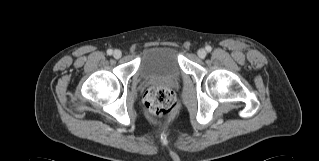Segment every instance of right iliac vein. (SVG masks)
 <instances>
[{"label":"right iliac vein","mask_w":319,"mask_h":161,"mask_svg":"<svg viewBox=\"0 0 319 161\" xmlns=\"http://www.w3.org/2000/svg\"><path fill=\"white\" fill-rule=\"evenodd\" d=\"M113 56L114 58L119 59L122 56V52L120 50H115Z\"/></svg>","instance_id":"obj_1"}]
</instances>
